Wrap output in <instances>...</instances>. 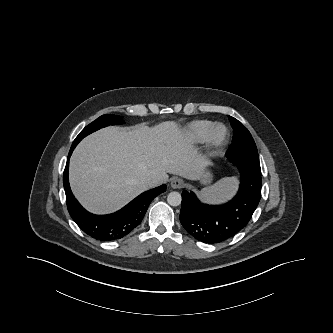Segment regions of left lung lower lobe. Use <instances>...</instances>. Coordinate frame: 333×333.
Here are the masks:
<instances>
[{"label": "left lung lower lobe", "instance_id": "1", "mask_svg": "<svg viewBox=\"0 0 333 333\" xmlns=\"http://www.w3.org/2000/svg\"><path fill=\"white\" fill-rule=\"evenodd\" d=\"M241 173L236 196L223 205L201 203L193 192H182L180 222L184 229L204 243L223 242L241 231L250 221L261 197V172L232 159Z\"/></svg>", "mask_w": 333, "mask_h": 333}]
</instances>
